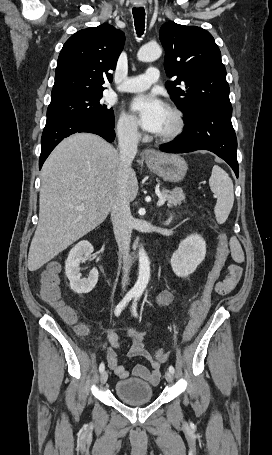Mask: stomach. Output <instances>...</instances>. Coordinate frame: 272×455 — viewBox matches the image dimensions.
<instances>
[{
	"label": "stomach",
	"instance_id": "1",
	"mask_svg": "<svg viewBox=\"0 0 272 455\" xmlns=\"http://www.w3.org/2000/svg\"><path fill=\"white\" fill-rule=\"evenodd\" d=\"M146 163L153 173L170 182L182 181L188 170L185 159L177 154L158 153Z\"/></svg>",
	"mask_w": 272,
	"mask_h": 455
}]
</instances>
